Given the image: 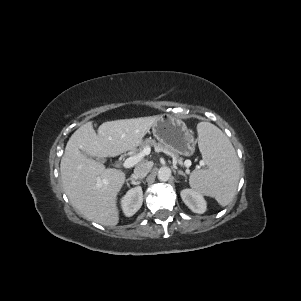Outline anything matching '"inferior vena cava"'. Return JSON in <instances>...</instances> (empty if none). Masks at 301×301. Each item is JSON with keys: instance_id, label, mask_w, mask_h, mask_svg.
<instances>
[{"instance_id": "obj_1", "label": "inferior vena cava", "mask_w": 301, "mask_h": 301, "mask_svg": "<svg viewBox=\"0 0 301 301\" xmlns=\"http://www.w3.org/2000/svg\"><path fill=\"white\" fill-rule=\"evenodd\" d=\"M151 170V164L150 163H143L138 165L134 169V174L136 178H144Z\"/></svg>"}]
</instances>
